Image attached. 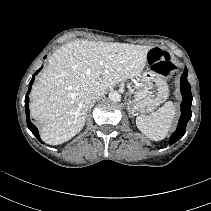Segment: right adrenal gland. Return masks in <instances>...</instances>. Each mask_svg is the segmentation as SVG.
<instances>
[{
  "instance_id": "2a0ac1e0",
  "label": "right adrenal gland",
  "mask_w": 211,
  "mask_h": 211,
  "mask_svg": "<svg viewBox=\"0 0 211 211\" xmlns=\"http://www.w3.org/2000/svg\"><path fill=\"white\" fill-rule=\"evenodd\" d=\"M96 100H97V99H95V100L92 102V104H91V107H90L89 111H90V110H91V108L94 106V104H95Z\"/></svg>"
}]
</instances>
